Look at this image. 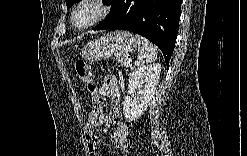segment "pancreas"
<instances>
[{
    "instance_id": "1",
    "label": "pancreas",
    "mask_w": 247,
    "mask_h": 156,
    "mask_svg": "<svg viewBox=\"0 0 247 156\" xmlns=\"http://www.w3.org/2000/svg\"><path fill=\"white\" fill-rule=\"evenodd\" d=\"M116 58L122 66H128V60L130 59L127 54H117Z\"/></svg>"
}]
</instances>
